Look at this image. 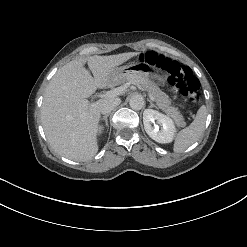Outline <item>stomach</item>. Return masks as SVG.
Wrapping results in <instances>:
<instances>
[{"label":"stomach","instance_id":"1","mask_svg":"<svg viewBox=\"0 0 247 247\" xmlns=\"http://www.w3.org/2000/svg\"><path fill=\"white\" fill-rule=\"evenodd\" d=\"M153 65L149 61H134L129 66L117 67L111 72V82L117 83L124 81L126 76L132 75L134 78H149L153 74ZM160 83L166 82V75L161 71L153 75Z\"/></svg>","mask_w":247,"mask_h":247}]
</instances>
